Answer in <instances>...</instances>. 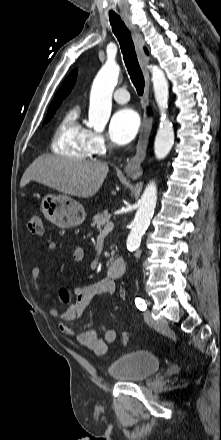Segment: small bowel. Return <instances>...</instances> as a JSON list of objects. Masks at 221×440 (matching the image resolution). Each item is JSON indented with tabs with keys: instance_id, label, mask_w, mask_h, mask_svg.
<instances>
[{
	"instance_id": "1",
	"label": "small bowel",
	"mask_w": 221,
	"mask_h": 440,
	"mask_svg": "<svg viewBox=\"0 0 221 440\" xmlns=\"http://www.w3.org/2000/svg\"><path fill=\"white\" fill-rule=\"evenodd\" d=\"M47 249L49 252L54 253L57 250L55 242L48 243ZM73 261L81 262L84 258V251L81 247H77L73 251ZM41 273L40 266L36 265L32 269L34 277V288L37 292H40L41 288L37 281ZM115 292V283L110 278H103L95 283L77 287L73 293V304L68 305L64 312L60 315L57 309H51L50 315L53 318L60 317L61 322L58 324L59 331L66 335L76 339V341L83 347L92 350L98 355H104L110 344H112L116 337V331L114 328H109L104 332L102 338H99L94 329H87L82 333L76 334L74 330L68 325V322L76 320L81 317L91 299L97 295L107 294L113 295Z\"/></svg>"
}]
</instances>
